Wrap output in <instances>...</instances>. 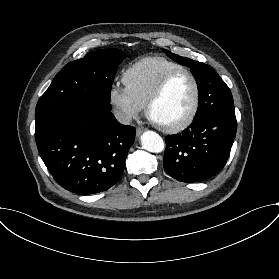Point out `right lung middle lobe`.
<instances>
[{"instance_id": "right-lung-middle-lobe-1", "label": "right lung middle lobe", "mask_w": 279, "mask_h": 279, "mask_svg": "<svg viewBox=\"0 0 279 279\" xmlns=\"http://www.w3.org/2000/svg\"><path fill=\"white\" fill-rule=\"evenodd\" d=\"M124 58L125 54L118 49H104L69 62L40 97L35 115L50 106L77 101H88L101 109L111 110V86Z\"/></svg>"}]
</instances>
